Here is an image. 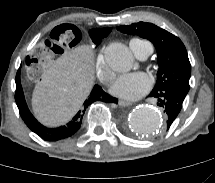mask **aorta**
I'll return each mask as SVG.
<instances>
[{"label":"aorta","instance_id":"obj_1","mask_svg":"<svg viewBox=\"0 0 215 183\" xmlns=\"http://www.w3.org/2000/svg\"><path fill=\"white\" fill-rule=\"evenodd\" d=\"M107 64L117 72L129 71L133 65V55L123 43H112L105 51ZM128 125L135 133L151 135L162 127L160 111L152 106H139L129 115Z\"/></svg>","mask_w":215,"mask_h":183}]
</instances>
